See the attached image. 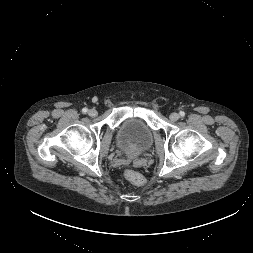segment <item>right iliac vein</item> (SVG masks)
Wrapping results in <instances>:
<instances>
[{
  "label": "right iliac vein",
  "mask_w": 253,
  "mask_h": 253,
  "mask_svg": "<svg viewBox=\"0 0 253 253\" xmlns=\"http://www.w3.org/2000/svg\"><path fill=\"white\" fill-rule=\"evenodd\" d=\"M97 111L95 110V109H90L89 111H88V115L89 116H91V117H95V116H97Z\"/></svg>",
  "instance_id": "right-iliac-vein-1"
}]
</instances>
